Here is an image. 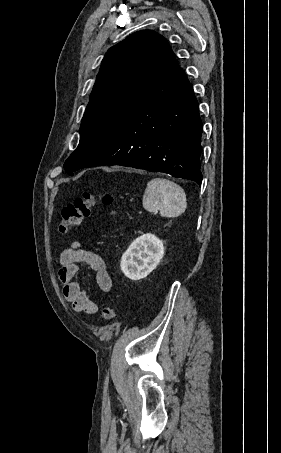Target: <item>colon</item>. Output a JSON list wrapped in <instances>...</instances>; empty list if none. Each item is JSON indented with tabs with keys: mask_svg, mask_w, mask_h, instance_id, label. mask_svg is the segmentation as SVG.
<instances>
[{
	"mask_svg": "<svg viewBox=\"0 0 281 453\" xmlns=\"http://www.w3.org/2000/svg\"><path fill=\"white\" fill-rule=\"evenodd\" d=\"M98 203L116 206L117 198L108 191L84 194L74 201L63 206L61 219L58 223L61 232H68L85 223L90 215V210ZM116 306L105 304L101 309V319L110 322L115 318Z\"/></svg>",
	"mask_w": 281,
	"mask_h": 453,
	"instance_id": "1",
	"label": "colon"
}]
</instances>
